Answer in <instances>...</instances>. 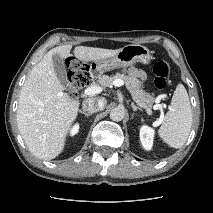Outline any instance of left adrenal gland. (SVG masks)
I'll list each match as a JSON object with an SVG mask.
<instances>
[{
    "mask_svg": "<svg viewBox=\"0 0 213 213\" xmlns=\"http://www.w3.org/2000/svg\"><path fill=\"white\" fill-rule=\"evenodd\" d=\"M131 107L133 108L134 112L137 111V110L142 111V109L140 107L136 106L133 102H131Z\"/></svg>",
    "mask_w": 213,
    "mask_h": 213,
    "instance_id": "a2214340",
    "label": "left adrenal gland"
}]
</instances>
